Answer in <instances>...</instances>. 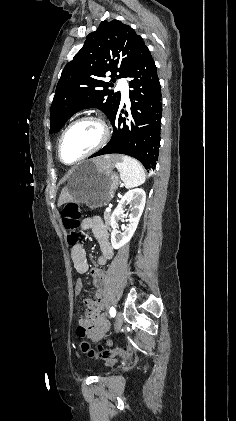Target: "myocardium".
Masks as SVG:
<instances>
[{"label": "myocardium", "mask_w": 236, "mask_h": 421, "mask_svg": "<svg viewBox=\"0 0 236 421\" xmlns=\"http://www.w3.org/2000/svg\"><path fill=\"white\" fill-rule=\"evenodd\" d=\"M84 122H92V123H96L97 125L100 126L101 130H102V137L100 139V141L98 142V144L96 146H94L89 152H87L86 154H84L83 156H81L80 158H78L77 160H75L72 163H66L63 158H62V144H63V140L66 136V134L69 132L70 129H72L74 126L84 123ZM110 128L108 126V124L106 123V121L104 119H102L101 117H97V116H84L81 117L75 121H73L72 123H70L65 130L62 132L59 142H58V157L59 160L65 164V165H73L76 164L78 162H80L81 160L95 154L96 152H98L99 150H101L103 147L106 146V144L108 143L109 139H110Z\"/></svg>", "instance_id": "myocardium-1"}]
</instances>
